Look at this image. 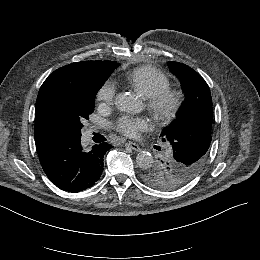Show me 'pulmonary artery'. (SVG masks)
Listing matches in <instances>:
<instances>
[{
    "label": "pulmonary artery",
    "instance_id": "e3ab8cb5",
    "mask_svg": "<svg viewBox=\"0 0 260 260\" xmlns=\"http://www.w3.org/2000/svg\"><path fill=\"white\" fill-rule=\"evenodd\" d=\"M95 131V128L94 127H90L87 132H86V135L88 138H91L92 136V133Z\"/></svg>",
    "mask_w": 260,
    "mask_h": 260
}]
</instances>
